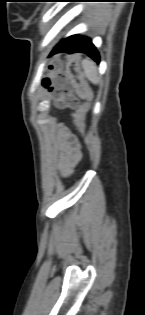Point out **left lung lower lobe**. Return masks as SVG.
<instances>
[{"label":"left lung lower lobe","mask_w":145,"mask_h":315,"mask_svg":"<svg viewBox=\"0 0 145 315\" xmlns=\"http://www.w3.org/2000/svg\"><path fill=\"white\" fill-rule=\"evenodd\" d=\"M67 52V53H85L91 57L94 61L99 62V53L96 47L93 45L90 38L80 35H72L61 40L52 50L50 55Z\"/></svg>","instance_id":"left-lung-lower-lobe-1"}]
</instances>
